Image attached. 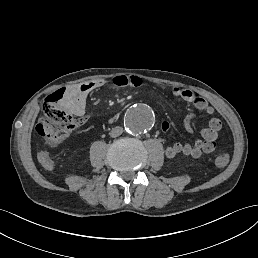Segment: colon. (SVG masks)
<instances>
[{"label": "colon", "mask_w": 258, "mask_h": 258, "mask_svg": "<svg viewBox=\"0 0 258 258\" xmlns=\"http://www.w3.org/2000/svg\"><path fill=\"white\" fill-rule=\"evenodd\" d=\"M65 89L57 90L49 95L43 105V115L36 125V133L43 143L50 147L57 146L68 134L79 127L84 119L74 117L60 105ZM229 162V154L218 151L214 157L217 167H225Z\"/></svg>", "instance_id": "5ec220e1"}]
</instances>
